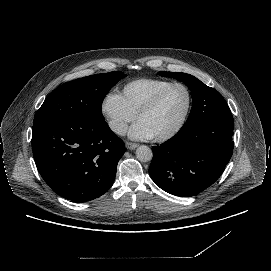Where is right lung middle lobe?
<instances>
[{
	"label": "right lung middle lobe",
	"mask_w": 271,
	"mask_h": 271,
	"mask_svg": "<svg viewBox=\"0 0 271 271\" xmlns=\"http://www.w3.org/2000/svg\"><path fill=\"white\" fill-rule=\"evenodd\" d=\"M126 75L121 71L96 74L62 84L36 112L34 123L51 117L101 119L106 94Z\"/></svg>",
	"instance_id": "obj_1"
}]
</instances>
